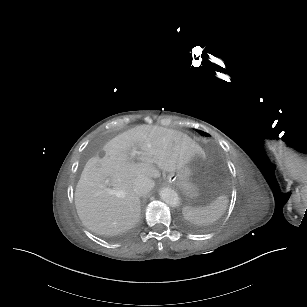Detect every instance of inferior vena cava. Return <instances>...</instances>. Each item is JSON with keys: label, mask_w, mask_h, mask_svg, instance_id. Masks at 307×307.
Wrapping results in <instances>:
<instances>
[{"label": "inferior vena cava", "mask_w": 307, "mask_h": 307, "mask_svg": "<svg viewBox=\"0 0 307 307\" xmlns=\"http://www.w3.org/2000/svg\"><path fill=\"white\" fill-rule=\"evenodd\" d=\"M155 187V183L152 179L146 176H139L135 179L133 184V191L138 196L148 194Z\"/></svg>", "instance_id": "obj_1"}]
</instances>
